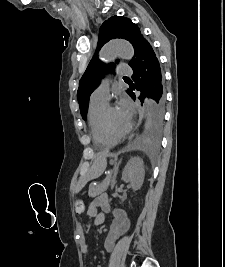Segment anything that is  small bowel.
Instances as JSON below:
<instances>
[{
	"label": "small bowel",
	"instance_id": "small-bowel-1",
	"mask_svg": "<svg viewBox=\"0 0 225 267\" xmlns=\"http://www.w3.org/2000/svg\"><path fill=\"white\" fill-rule=\"evenodd\" d=\"M101 212H112L114 220L110 230L105 238V248L107 251H113L115 241L128 229L129 220L126 213L121 209L112 210L106 196L102 195L95 199L88 207L87 213L89 216L95 217L96 220L101 217ZM90 247V243L84 239L81 246L82 254H86ZM101 267V266H97Z\"/></svg>",
	"mask_w": 225,
	"mask_h": 267
}]
</instances>
